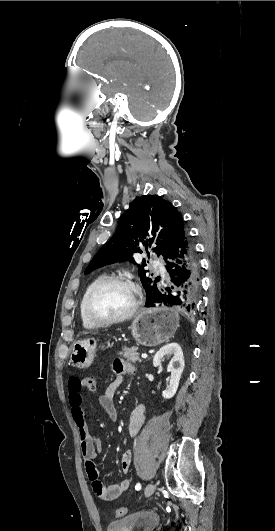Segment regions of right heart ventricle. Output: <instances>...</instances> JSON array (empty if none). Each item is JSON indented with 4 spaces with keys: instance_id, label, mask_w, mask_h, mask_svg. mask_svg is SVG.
I'll use <instances>...</instances> for the list:
<instances>
[{
    "instance_id": "obj_1",
    "label": "right heart ventricle",
    "mask_w": 275,
    "mask_h": 531,
    "mask_svg": "<svg viewBox=\"0 0 275 531\" xmlns=\"http://www.w3.org/2000/svg\"><path fill=\"white\" fill-rule=\"evenodd\" d=\"M100 279H102V276H100V277H98L97 279H95V280H94V281H93V282L87 287V289L85 290V292H84V294H83V296H82V298H81V300H80V304H79V310H80V316H81L82 323H83L84 327H86V328H90V329L96 328L97 326L94 325V324H92V323H90L89 321H87V320L85 319V317L83 316V313H82V305H83L84 298H85L86 294L88 293V291H89V290L91 289V287H92L95 283H97Z\"/></svg>"
}]
</instances>
